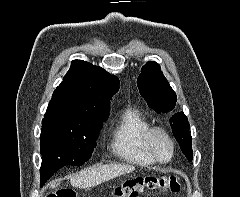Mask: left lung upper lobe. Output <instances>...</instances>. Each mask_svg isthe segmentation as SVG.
I'll use <instances>...</instances> for the list:
<instances>
[{
    "label": "left lung upper lobe",
    "instance_id": "obj_1",
    "mask_svg": "<svg viewBox=\"0 0 240 197\" xmlns=\"http://www.w3.org/2000/svg\"><path fill=\"white\" fill-rule=\"evenodd\" d=\"M137 86L147 105L157 113L174 109L177 96L156 62L149 61L142 67ZM170 124L182 152L192 161V137L187 117L183 112L176 113L170 119Z\"/></svg>",
    "mask_w": 240,
    "mask_h": 197
}]
</instances>
